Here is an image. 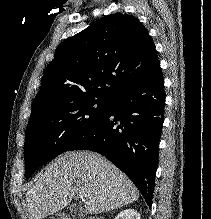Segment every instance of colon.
I'll use <instances>...</instances> for the list:
<instances>
[{"label": "colon", "mask_w": 211, "mask_h": 219, "mask_svg": "<svg viewBox=\"0 0 211 219\" xmlns=\"http://www.w3.org/2000/svg\"><path fill=\"white\" fill-rule=\"evenodd\" d=\"M48 219H74V217L67 215V214H60L54 217H50ZM83 219H102V217L99 216H91V217H87V218H83Z\"/></svg>", "instance_id": "1"}]
</instances>
